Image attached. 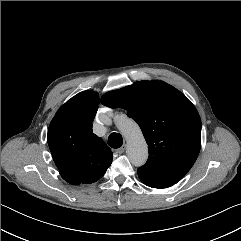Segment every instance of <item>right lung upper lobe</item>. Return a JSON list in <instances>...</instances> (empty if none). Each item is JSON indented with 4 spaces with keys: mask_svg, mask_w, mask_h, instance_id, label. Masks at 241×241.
<instances>
[{
    "mask_svg": "<svg viewBox=\"0 0 241 241\" xmlns=\"http://www.w3.org/2000/svg\"><path fill=\"white\" fill-rule=\"evenodd\" d=\"M99 96L83 91L67 101L52 119L47 141L61 176L77 184L99 180L112 163L111 149L92 132Z\"/></svg>",
    "mask_w": 241,
    "mask_h": 241,
    "instance_id": "1",
    "label": "right lung upper lobe"
}]
</instances>
